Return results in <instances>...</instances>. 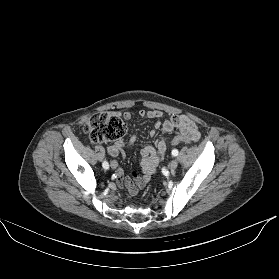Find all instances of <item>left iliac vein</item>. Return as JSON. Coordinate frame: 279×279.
<instances>
[{
    "label": "left iliac vein",
    "instance_id": "4c4485c4",
    "mask_svg": "<svg viewBox=\"0 0 279 279\" xmlns=\"http://www.w3.org/2000/svg\"><path fill=\"white\" fill-rule=\"evenodd\" d=\"M177 166H178V162H177V160H172L170 163H169V169L171 170V171H173V170H175L176 168H177Z\"/></svg>",
    "mask_w": 279,
    "mask_h": 279
}]
</instances>
